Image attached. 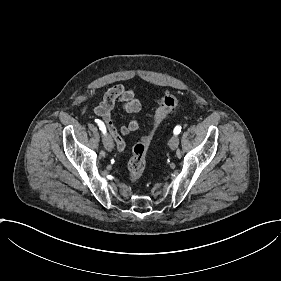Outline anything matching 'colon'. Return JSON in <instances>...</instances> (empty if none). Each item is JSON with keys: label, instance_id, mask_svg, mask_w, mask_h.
<instances>
[{"label": "colon", "instance_id": "obj_1", "mask_svg": "<svg viewBox=\"0 0 281 281\" xmlns=\"http://www.w3.org/2000/svg\"><path fill=\"white\" fill-rule=\"evenodd\" d=\"M181 102L182 100L180 97L170 93L165 94L161 98L158 107L150 116L148 126L144 130L140 142L135 146L132 152V157L128 168V173L131 179H138L143 174L149 154L150 137L156 130L159 123L164 120L175 108H177Z\"/></svg>", "mask_w": 281, "mask_h": 281}]
</instances>
